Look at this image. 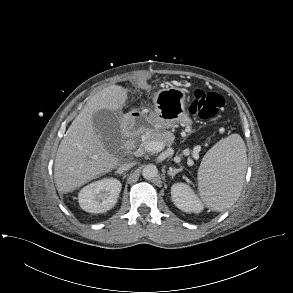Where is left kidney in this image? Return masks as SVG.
Listing matches in <instances>:
<instances>
[{"label": "left kidney", "mask_w": 293, "mask_h": 293, "mask_svg": "<svg viewBox=\"0 0 293 293\" xmlns=\"http://www.w3.org/2000/svg\"><path fill=\"white\" fill-rule=\"evenodd\" d=\"M172 201L184 212L199 213L204 206L191 187L185 183H175L171 187Z\"/></svg>", "instance_id": "5707ae66"}]
</instances>
